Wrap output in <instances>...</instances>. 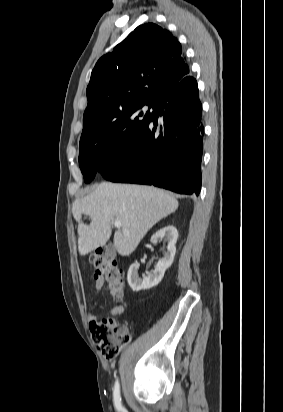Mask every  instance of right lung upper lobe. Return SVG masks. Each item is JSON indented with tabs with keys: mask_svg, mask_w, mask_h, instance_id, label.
Wrapping results in <instances>:
<instances>
[{
	"mask_svg": "<svg viewBox=\"0 0 283 412\" xmlns=\"http://www.w3.org/2000/svg\"><path fill=\"white\" fill-rule=\"evenodd\" d=\"M181 45L153 23L138 26L96 63L86 90L88 105L81 138L106 130L125 110L158 103L190 76Z\"/></svg>",
	"mask_w": 283,
	"mask_h": 412,
	"instance_id": "cb5924a9",
	"label": "right lung upper lobe"
}]
</instances>
